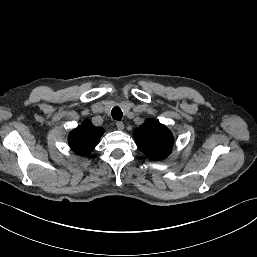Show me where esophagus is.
Here are the masks:
<instances>
[{
    "label": "esophagus",
    "instance_id": "obj_1",
    "mask_svg": "<svg viewBox=\"0 0 257 257\" xmlns=\"http://www.w3.org/2000/svg\"><path fill=\"white\" fill-rule=\"evenodd\" d=\"M116 127L118 130H123L124 129V123L121 121L116 122Z\"/></svg>",
    "mask_w": 257,
    "mask_h": 257
}]
</instances>
